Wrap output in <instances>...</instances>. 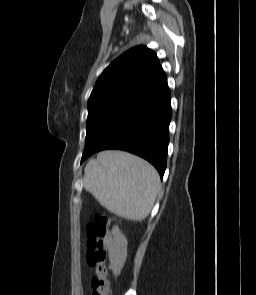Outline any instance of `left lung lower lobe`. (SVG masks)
Returning <instances> with one entry per match:
<instances>
[{
    "label": "left lung lower lobe",
    "instance_id": "1",
    "mask_svg": "<svg viewBox=\"0 0 256 295\" xmlns=\"http://www.w3.org/2000/svg\"><path fill=\"white\" fill-rule=\"evenodd\" d=\"M170 99L167 86L153 99L118 122L95 144L85 148L81 162L98 151L120 149L148 160L162 178L169 143Z\"/></svg>",
    "mask_w": 256,
    "mask_h": 295
}]
</instances>
